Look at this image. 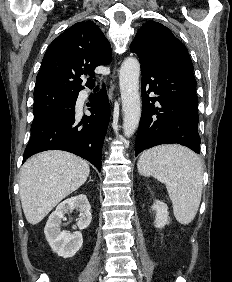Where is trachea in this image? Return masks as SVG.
I'll return each mask as SVG.
<instances>
[{"label":"trachea","instance_id":"trachea-1","mask_svg":"<svg viewBox=\"0 0 232 282\" xmlns=\"http://www.w3.org/2000/svg\"><path fill=\"white\" fill-rule=\"evenodd\" d=\"M99 89V86H96L95 90H98Z\"/></svg>","mask_w":232,"mask_h":282}]
</instances>
